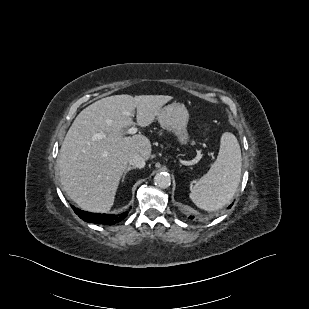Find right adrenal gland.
Here are the masks:
<instances>
[{"mask_svg": "<svg viewBox=\"0 0 309 309\" xmlns=\"http://www.w3.org/2000/svg\"><path fill=\"white\" fill-rule=\"evenodd\" d=\"M132 169H135V167H132V166H128V167H127L126 171L124 172V174H123V176H122V179H121L122 182L124 181L126 174H127L130 170H132Z\"/></svg>", "mask_w": 309, "mask_h": 309, "instance_id": "1", "label": "right adrenal gland"}]
</instances>
